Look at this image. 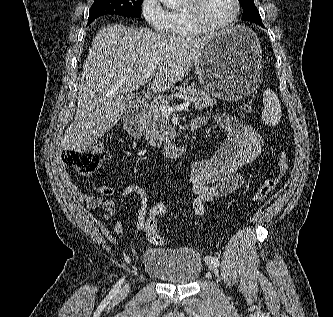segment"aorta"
<instances>
[{"label": "aorta", "mask_w": 333, "mask_h": 317, "mask_svg": "<svg viewBox=\"0 0 333 317\" xmlns=\"http://www.w3.org/2000/svg\"><path fill=\"white\" fill-rule=\"evenodd\" d=\"M160 2L169 8H175L180 4L181 0H160Z\"/></svg>", "instance_id": "762f6f07"}]
</instances>
